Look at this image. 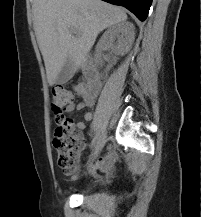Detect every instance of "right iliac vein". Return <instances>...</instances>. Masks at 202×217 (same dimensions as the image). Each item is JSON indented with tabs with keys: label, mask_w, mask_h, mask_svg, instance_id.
Here are the masks:
<instances>
[{
	"label": "right iliac vein",
	"mask_w": 202,
	"mask_h": 217,
	"mask_svg": "<svg viewBox=\"0 0 202 217\" xmlns=\"http://www.w3.org/2000/svg\"><path fill=\"white\" fill-rule=\"evenodd\" d=\"M107 141V136L106 134H102L95 146V149H94V152L92 154V157H91V161H93L101 152V150L103 149V147L105 146V143Z\"/></svg>",
	"instance_id": "1"
}]
</instances>
